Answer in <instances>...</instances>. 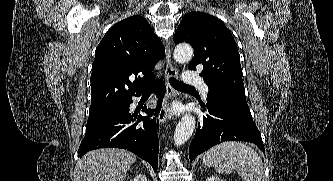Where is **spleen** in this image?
Listing matches in <instances>:
<instances>
[{"label":"spleen","mask_w":333,"mask_h":181,"mask_svg":"<svg viewBox=\"0 0 333 181\" xmlns=\"http://www.w3.org/2000/svg\"><path fill=\"white\" fill-rule=\"evenodd\" d=\"M203 163L221 174L237 170L244 181H261L264 172L258 153L241 142H224L210 148L203 157Z\"/></svg>","instance_id":"spleen-1"}]
</instances>
